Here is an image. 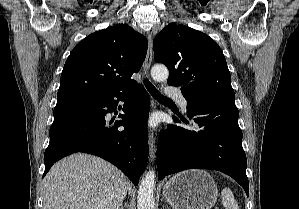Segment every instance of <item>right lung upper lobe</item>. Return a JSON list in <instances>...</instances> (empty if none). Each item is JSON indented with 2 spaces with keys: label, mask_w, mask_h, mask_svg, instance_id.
<instances>
[{
  "label": "right lung upper lobe",
  "mask_w": 299,
  "mask_h": 209,
  "mask_svg": "<svg viewBox=\"0 0 299 209\" xmlns=\"http://www.w3.org/2000/svg\"><path fill=\"white\" fill-rule=\"evenodd\" d=\"M148 41L126 24L97 31L80 41L67 58L57 98L128 91L146 57Z\"/></svg>",
  "instance_id": "obj_1"
}]
</instances>
